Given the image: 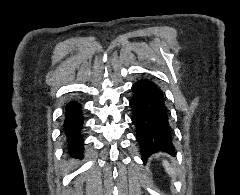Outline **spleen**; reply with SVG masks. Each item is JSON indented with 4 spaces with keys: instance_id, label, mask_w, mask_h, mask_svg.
Listing matches in <instances>:
<instances>
[{
    "instance_id": "spleen-1",
    "label": "spleen",
    "mask_w": 240,
    "mask_h": 195,
    "mask_svg": "<svg viewBox=\"0 0 240 195\" xmlns=\"http://www.w3.org/2000/svg\"><path fill=\"white\" fill-rule=\"evenodd\" d=\"M163 165H164L167 173H169V175H175V171H174L173 167H170L169 161H166V159H163Z\"/></svg>"
}]
</instances>
